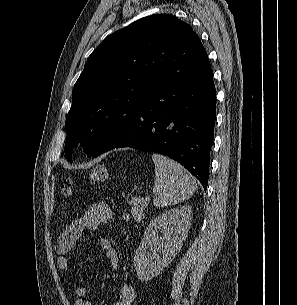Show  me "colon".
Segmentation results:
<instances>
[{"instance_id":"1","label":"colon","mask_w":297,"mask_h":305,"mask_svg":"<svg viewBox=\"0 0 297 305\" xmlns=\"http://www.w3.org/2000/svg\"><path fill=\"white\" fill-rule=\"evenodd\" d=\"M90 180L93 183H104L109 180V174L107 168L104 165H98L91 170ZM62 192L68 197H74L76 195V186L72 179L67 178L62 184ZM128 224V215H123L120 219V225L126 227Z\"/></svg>"}]
</instances>
